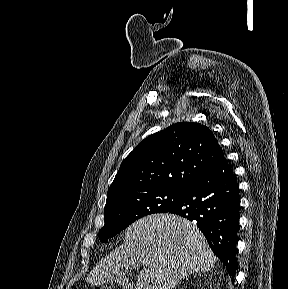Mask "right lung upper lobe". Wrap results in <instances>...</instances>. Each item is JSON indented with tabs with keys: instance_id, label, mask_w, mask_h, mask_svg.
<instances>
[{
	"instance_id": "cb5924a9",
	"label": "right lung upper lobe",
	"mask_w": 288,
	"mask_h": 289,
	"mask_svg": "<svg viewBox=\"0 0 288 289\" xmlns=\"http://www.w3.org/2000/svg\"><path fill=\"white\" fill-rule=\"evenodd\" d=\"M224 158L212 131L199 123L180 122L136 146L123 160L108 196L150 188H185Z\"/></svg>"
}]
</instances>
